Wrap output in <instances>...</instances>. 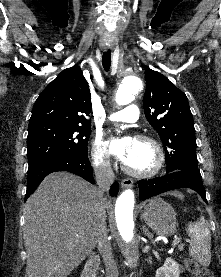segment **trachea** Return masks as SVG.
I'll return each instance as SVG.
<instances>
[{
  "instance_id": "1",
  "label": "trachea",
  "mask_w": 221,
  "mask_h": 277,
  "mask_svg": "<svg viewBox=\"0 0 221 277\" xmlns=\"http://www.w3.org/2000/svg\"><path fill=\"white\" fill-rule=\"evenodd\" d=\"M102 65H103V68L105 69V71L108 72L110 69V66H111V52L110 51L103 53Z\"/></svg>"
}]
</instances>
